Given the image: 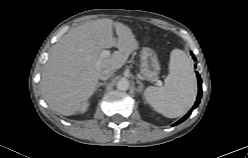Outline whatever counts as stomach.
Instances as JSON below:
<instances>
[{"label":"stomach","instance_id":"0dacf381","mask_svg":"<svg viewBox=\"0 0 248 158\" xmlns=\"http://www.w3.org/2000/svg\"><path fill=\"white\" fill-rule=\"evenodd\" d=\"M140 71L150 82H154L160 73V63L157 54L150 48H143L141 51Z\"/></svg>","mask_w":248,"mask_h":158}]
</instances>
